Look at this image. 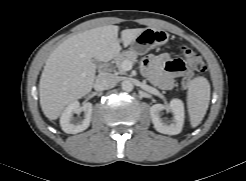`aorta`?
Here are the masks:
<instances>
[{"label": "aorta", "instance_id": "aorta-1", "mask_svg": "<svg viewBox=\"0 0 246 181\" xmlns=\"http://www.w3.org/2000/svg\"><path fill=\"white\" fill-rule=\"evenodd\" d=\"M121 88L123 91L131 92L134 88V85L130 80L127 79L121 82Z\"/></svg>", "mask_w": 246, "mask_h": 181}]
</instances>
